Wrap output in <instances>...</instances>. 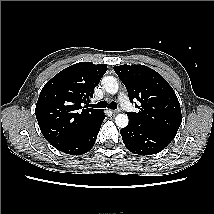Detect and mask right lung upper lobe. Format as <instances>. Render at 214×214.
<instances>
[{
    "instance_id": "obj_1",
    "label": "right lung upper lobe",
    "mask_w": 214,
    "mask_h": 214,
    "mask_svg": "<svg viewBox=\"0 0 214 214\" xmlns=\"http://www.w3.org/2000/svg\"><path fill=\"white\" fill-rule=\"evenodd\" d=\"M107 71L106 65L80 62L49 80L39 95L35 114L46 140L56 149L72 143L102 115L101 109L88 108L94 88Z\"/></svg>"
}]
</instances>
